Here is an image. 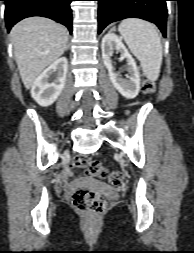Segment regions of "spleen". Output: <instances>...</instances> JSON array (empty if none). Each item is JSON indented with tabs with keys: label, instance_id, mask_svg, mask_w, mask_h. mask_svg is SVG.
<instances>
[{
	"label": "spleen",
	"instance_id": "1",
	"mask_svg": "<svg viewBox=\"0 0 194 253\" xmlns=\"http://www.w3.org/2000/svg\"><path fill=\"white\" fill-rule=\"evenodd\" d=\"M118 30L140 61L143 74L150 81H156L162 64V44L155 26L142 19L129 18L120 23Z\"/></svg>",
	"mask_w": 194,
	"mask_h": 253
}]
</instances>
